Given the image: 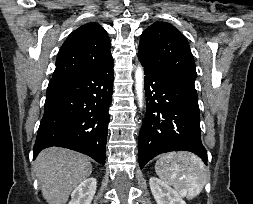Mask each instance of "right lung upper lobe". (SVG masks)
Segmentation results:
<instances>
[{
    "label": "right lung upper lobe",
    "mask_w": 253,
    "mask_h": 204,
    "mask_svg": "<svg viewBox=\"0 0 253 204\" xmlns=\"http://www.w3.org/2000/svg\"><path fill=\"white\" fill-rule=\"evenodd\" d=\"M106 31L91 22L73 31L59 50L50 82L83 73L112 59Z\"/></svg>",
    "instance_id": "1"
}]
</instances>
